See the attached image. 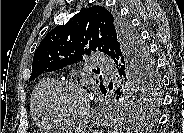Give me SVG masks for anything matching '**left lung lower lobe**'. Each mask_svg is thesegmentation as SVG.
<instances>
[{"label":"left lung lower lobe","mask_w":184,"mask_h":133,"mask_svg":"<svg viewBox=\"0 0 184 133\" xmlns=\"http://www.w3.org/2000/svg\"><path fill=\"white\" fill-rule=\"evenodd\" d=\"M118 71H119V69H118ZM102 93H103V94H106V90H103ZM129 116H130V115H129ZM134 117H135V115H132V116H131L132 119H133Z\"/></svg>","instance_id":"1"}]
</instances>
